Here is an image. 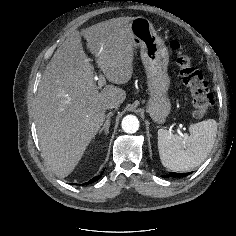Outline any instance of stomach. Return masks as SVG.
I'll return each mask as SVG.
<instances>
[{
	"label": "stomach",
	"instance_id": "stomach-1",
	"mask_svg": "<svg viewBox=\"0 0 236 236\" xmlns=\"http://www.w3.org/2000/svg\"><path fill=\"white\" fill-rule=\"evenodd\" d=\"M130 29L135 47L140 48L147 75V112L155 123L163 124L171 112V101L167 95L170 87V77L167 73L168 50L148 19L134 18Z\"/></svg>",
	"mask_w": 236,
	"mask_h": 236
}]
</instances>
